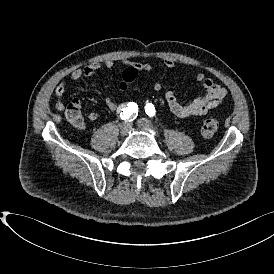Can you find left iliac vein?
<instances>
[{
	"label": "left iliac vein",
	"mask_w": 274,
	"mask_h": 274,
	"mask_svg": "<svg viewBox=\"0 0 274 274\" xmlns=\"http://www.w3.org/2000/svg\"><path fill=\"white\" fill-rule=\"evenodd\" d=\"M138 127L143 130H153L154 126L148 119L141 118L137 121Z\"/></svg>",
	"instance_id": "left-iliac-vein-1"
}]
</instances>
